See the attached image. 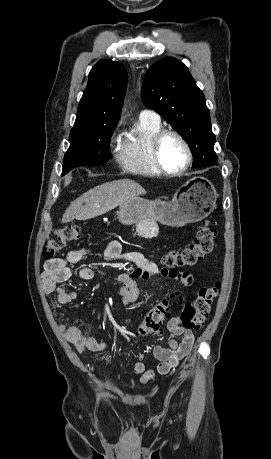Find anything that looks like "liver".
Wrapping results in <instances>:
<instances>
[{
  "label": "liver",
  "instance_id": "6515ba94",
  "mask_svg": "<svg viewBox=\"0 0 271 459\" xmlns=\"http://www.w3.org/2000/svg\"><path fill=\"white\" fill-rule=\"evenodd\" d=\"M143 194H146L144 188L133 180L107 182V184H102V186L85 192L77 200L71 202L63 214L62 222L66 224V222H73V220H90V218L102 216L105 212H110L117 206L133 200L136 196H143Z\"/></svg>",
  "mask_w": 271,
  "mask_h": 459
}]
</instances>
